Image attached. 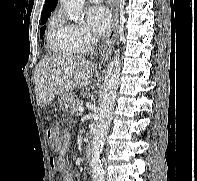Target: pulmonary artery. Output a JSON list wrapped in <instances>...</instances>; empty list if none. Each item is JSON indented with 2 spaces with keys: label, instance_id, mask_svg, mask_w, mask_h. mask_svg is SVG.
Wrapping results in <instances>:
<instances>
[{
  "label": "pulmonary artery",
  "instance_id": "pulmonary-artery-1",
  "mask_svg": "<svg viewBox=\"0 0 197 181\" xmlns=\"http://www.w3.org/2000/svg\"><path fill=\"white\" fill-rule=\"evenodd\" d=\"M90 2H92V3H99V2H101V0H89Z\"/></svg>",
  "mask_w": 197,
  "mask_h": 181
}]
</instances>
